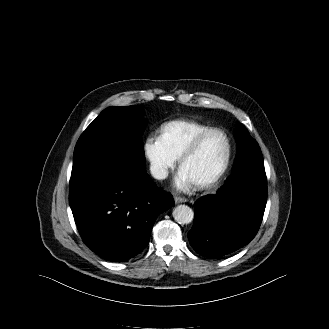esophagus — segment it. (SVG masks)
Instances as JSON below:
<instances>
[{
  "label": "esophagus",
  "mask_w": 329,
  "mask_h": 329,
  "mask_svg": "<svg viewBox=\"0 0 329 329\" xmlns=\"http://www.w3.org/2000/svg\"><path fill=\"white\" fill-rule=\"evenodd\" d=\"M174 201H175L176 204H178V203L187 202V199L183 198V197H175Z\"/></svg>",
  "instance_id": "esophagus-1"
}]
</instances>
